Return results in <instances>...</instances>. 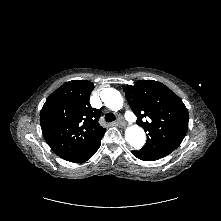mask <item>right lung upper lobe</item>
Returning <instances> with one entry per match:
<instances>
[{"instance_id": "1", "label": "right lung upper lobe", "mask_w": 221, "mask_h": 221, "mask_svg": "<svg viewBox=\"0 0 221 221\" xmlns=\"http://www.w3.org/2000/svg\"><path fill=\"white\" fill-rule=\"evenodd\" d=\"M94 87L86 80L69 81L55 90L42 107L40 125L44 138L64 160L80 155L106 131L98 123L101 110L89 103Z\"/></svg>"}]
</instances>
